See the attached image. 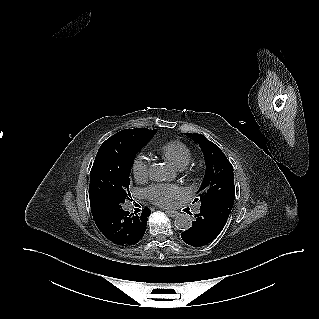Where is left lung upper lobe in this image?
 I'll return each instance as SVG.
<instances>
[{
  "instance_id": "obj_1",
  "label": "left lung upper lobe",
  "mask_w": 319,
  "mask_h": 319,
  "mask_svg": "<svg viewBox=\"0 0 319 319\" xmlns=\"http://www.w3.org/2000/svg\"><path fill=\"white\" fill-rule=\"evenodd\" d=\"M197 142L204 154L206 172L199 189L198 198L201 205L222 200L235 199L233 166L222 150L202 134H186Z\"/></svg>"
}]
</instances>
